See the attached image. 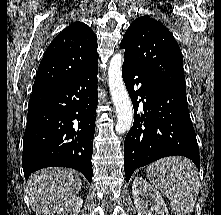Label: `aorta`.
<instances>
[{"label": "aorta", "mask_w": 221, "mask_h": 215, "mask_svg": "<svg viewBox=\"0 0 221 215\" xmlns=\"http://www.w3.org/2000/svg\"><path fill=\"white\" fill-rule=\"evenodd\" d=\"M123 59V54L116 53L111 58L108 67V84L112 101L116 107L117 124L115 130L118 134L127 132L133 121L132 103L122 78Z\"/></svg>", "instance_id": "1"}]
</instances>
